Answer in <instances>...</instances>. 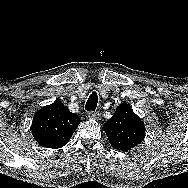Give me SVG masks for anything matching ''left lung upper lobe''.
Here are the masks:
<instances>
[{
  "label": "left lung upper lobe",
  "mask_w": 188,
  "mask_h": 188,
  "mask_svg": "<svg viewBox=\"0 0 188 188\" xmlns=\"http://www.w3.org/2000/svg\"><path fill=\"white\" fill-rule=\"evenodd\" d=\"M108 140L118 151H130L145 136V125L129 104H120L114 115L103 125Z\"/></svg>",
  "instance_id": "1"
}]
</instances>
